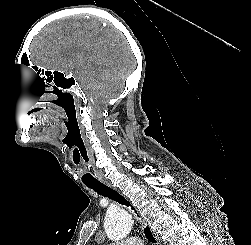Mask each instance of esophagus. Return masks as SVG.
<instances>
[{
    "label": "esophagus",
    "mask_w": 251,
    "mask_h": 245,
    "mask_svg": "<svg viewBox=\"0 0 251 245\" xmlns=\"http://www.w3.org/2000/svg\"><path fill=\"white\" fill-rule=\"evenodd\" d=\"M103 182H104L106 185H108L109 187L114 188V186H113L109 181L103 179ZM153 235H154V237H155V239H156V241H157V245H161V243H160V238L158 237V235H157L154 231H153Z\"/></svg>",
    "instance_id": "obj_1"
}]
</instances>
